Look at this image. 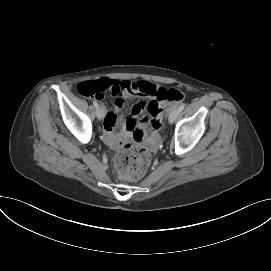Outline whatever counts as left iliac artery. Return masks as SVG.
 Listing matches in <instances>:
<instances>
[{"label": "left iliac artery", "instance_id": "44dca946", "mask_svg": "<svg viewBox=\"0 0 271 271\" xmlns=\"http://www.w3.org/2000/svg\"><path fill=\"white\" fill-rule=\"evenodd\" d=\"M185 108V104H181L179 107V111L181 112Z\"/></svg>", "mask_w": 271, "mask_h": 271}]
</instances>
